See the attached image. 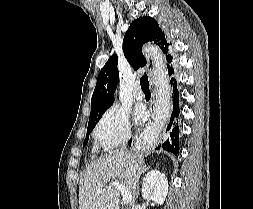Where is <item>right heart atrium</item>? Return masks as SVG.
<instances>
[{"label":"right heart atrium","mask_w":253,"mask_h":209,"mask_svg":"<svg viewBox=\"0 0 253 209\" xmlns=\"http://www.w3.org/2000/svg\"><path fill=\"white\" fill-rule=\"evenodd\" d=\"M132 127L129 115L119 107H111L98 120L93 137L97 147L110 151L129 141Z\"/></svg>","instance_id":"right-heart-atrium-1"}]
</instances>
